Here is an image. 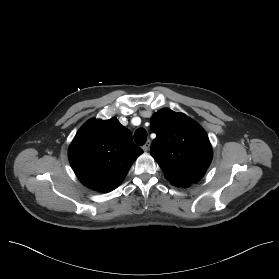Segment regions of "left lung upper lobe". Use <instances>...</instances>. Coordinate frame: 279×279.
<instances>
[{
    "label": "left lung upper lobe",
    "mask_w": 279,
    "mask_h": 279,
    "mask_svg": "<svg viewBox=\"0 0 279 279\" xmlns=\"http://www.w3.org/2000/svg\"><path fill=\"white\" fill-rule=\"evenodd\" d=\"M156 138L150 154L169 181L197 183L205 174L212 149L203 128L183 113L162 109L151 117Z\"/></svg>",
    "instance_id": "1"
}]
</instances>
